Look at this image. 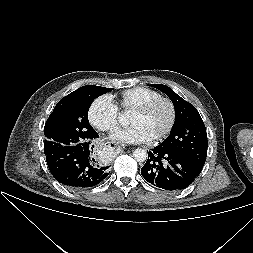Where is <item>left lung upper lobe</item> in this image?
<instances>
[{
    "mask_svg": "<svg viewBox=\"0 0 253 253\" xmlns=\"http://www.w3.org/2000/svg\"><path fill=\"white\" fill-rule=\"evenodd\" d=\"M151 86L164 92L175 107V123L169 137L159 146L204 166L207 156V134L198 111L168 86L162 84Z\"/></svg>",
    "mask_w": 253,
    "mask_h": 253,
    "instance_id": "left-lung-upper-lobe-1",
    "label": "left lung upper lobe"
}]
</instances>
